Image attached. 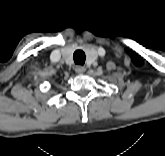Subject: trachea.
Wrapping results in <instances>:
<instances>
[{"instance_id":"obj_1","label":"trachea","mask_w":165,"mask_h":156,"mask_svg":"<svg viewBox=\"0 0 165 156\" xmlns=\"http://www.w3.org/2000/svg\"><path fill=\"white\" fill-rule=\"evenodd\" d=\"M85 53L81 50H77L73 54V59L75 64L77 65H84L85 63Z\"/></svg>"}]
</instances>
